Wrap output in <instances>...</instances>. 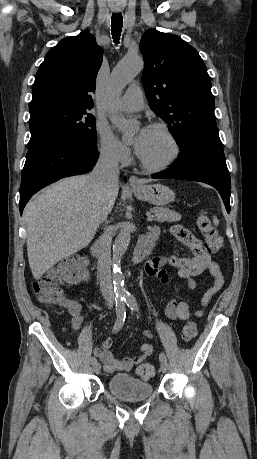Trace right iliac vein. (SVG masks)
<instances>
[{
    "label": "right iliac vein",
    "instance_id": "right-iliac-vein-1",
    "mask_svg": "<svg viewBox=\"0 0 257 459\" xmlns=\"http://www.w3.org/2000/svg\"><path fill=\"white\" fill-rule=\"evenodd\" d=\"M93 370L96 374H99L101 371V365L98 362L93 364Z\"/></svg>",
    "mask_w": 257,
    "mask_h": 459
}]
</instances>
